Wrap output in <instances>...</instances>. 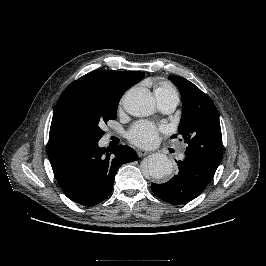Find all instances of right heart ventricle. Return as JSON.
<instances>
[{"label": "right heart ventricle", "instance_id": "obj_1", "mask_svg": "<svg viewBox=\"0 0 266 266\" xmlns=\"http://www.w3.org/2000/svg\"><path fill=\"white\" fill-rule=\"evenodd\" d=\"M154 93L158 101L169 97L178 99L177 90L168 82H159L155 87Z\"/></svg>", "mask_w": 266, "mask_h": 266}]
</instances>
